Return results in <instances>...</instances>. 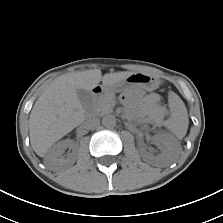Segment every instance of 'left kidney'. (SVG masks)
Instances as JSON below:
<instances>
[{"label": "left kidney", "instance_id": "left-kidney-1", "mask_svg": "<svg viewBox=\"0 0 223 223\" xmlns=\"http://www.w3.org/2000/svg\"><path fill=\"white\" fill-rule=\"evenodd\" d=\"M153 139L156 143L160 144L161 153L155 156L152 153L146 152V150L141 147L142 159L145 162L158 166H169L175 163L181 151L178 142L166 135H156Z\"/></svg>", "mask_w": 223, "mask_h": 223}]
</instances>
